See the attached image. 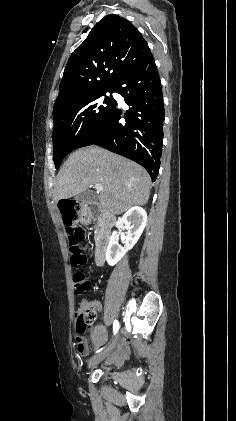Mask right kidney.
Wrapping results in <instances>:
<instances>
[{
	"label": "right kidney",
	"instance_id": "right-kidney-1",
	"mask_svg": "<svg viewBox=\"0 0 236 421\" xmlns=\"http://www.w3.org/2000/svg\"><path fill=\"white\" fill-rule=\"evenodd\" d=\"M122 223L127 231L125 247L119 245V235H117V231H113L106 251V261L110 267H114L127 251L136 245L147 225V213L142 206H131L129 211L123 215Z\"/></svg>",
	"mask_w": 236,
	"mask_h": 421
}]
</instances>
